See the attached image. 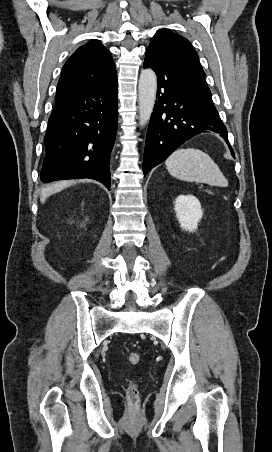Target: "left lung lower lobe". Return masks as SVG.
Segmentation results:
<instances>
[{
    "label": "left lung lower lobe",
    "mask_w": 272,
    "mask_h": 452,
    "mask_svg": "<svg viewBox=\"0 0 272 452\" xmlns=\"http://www.w3.org/2000/svg\"><path fill=\"white\" fill-rule=\"evenodd\" d=\"M144 67L152 68L158 77L157 101L145 144L144 175L200 133H219L229 143L227 129L213 104L205 77L150 52H146Z\"/></svg>",
    "instance_id": "obj_1"
}]
</instances>
